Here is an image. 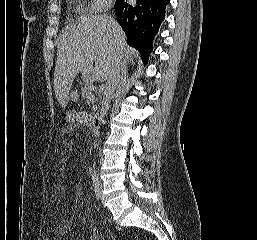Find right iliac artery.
<instances>
[{
  "mask_svg": "<svg viewBox=\"0 0 257 240\" xmlns=\"http://www.w3.org/2000/svg\"><path fill=\"white\" fill-rule=\"evenodd\" d=\"M93 186H94L95 195H96L97 199H99L101 197V191H100V188H99L98 180H94Z\"/></svg>",
  "mask_w": 257,
  "mask_h": 240,
  "instance_id": "obj_1",
  "label": "right iliac artery"
}]
</instances>
